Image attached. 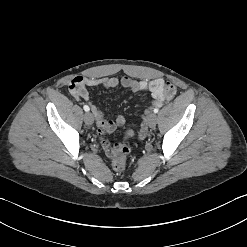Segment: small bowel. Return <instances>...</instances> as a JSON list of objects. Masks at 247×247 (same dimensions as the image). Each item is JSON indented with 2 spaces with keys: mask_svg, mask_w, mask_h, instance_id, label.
Returning <instances> with one entry per match:
<instances>
[{
  "mask_svg": "<svg viewBox=\"0 0 247 247\" xmlns=\"http://www.w3.org/2000/svg\"><path fill=\"white\" fill-rule=\"evenodd\" d=\"M119 85L133 92L147 93L150 97L151 106L161 105L162 101L165 99V82L162 79H154L147 82L144 80H135L128 76H123L121 79L116 77H74L69 84V93L74 99L84 101L91 106L101 136L112 132L117 126L122 125L124 123V118L121 115H117L114 120L107 119L104 112L92 103L87 87H104L110 89ZM146 134L147 112L142 116L138 138L142 140L145 138ZM116 145L117 144L112 145L107 140L102 139L104 151L110 158H113L115 155L114 149Z\"/></svg>",
  "mask_w": 247,
  "mask_h": 247,
  "instance_id": "c3829d8e",
  "label": "small bowel"
}]
</instances>
